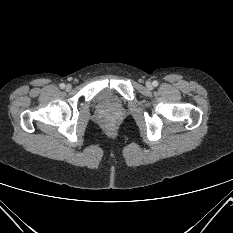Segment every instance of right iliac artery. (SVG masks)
I'll return each instance as SVG.
<instances>
[{
	"label": "right iliac artery",
	"instance_id": "1",
	"mask_svg": "<svg viewBox=\"0 0 233 233\" xmlns=\"http://www.w3.org/2000/svg\"><path fill=\"white\" fill-rule=\"evenodd\" d=\"M60 88H61V89H64V88H65V84H64V83H61V84H60Z\"/></svg>",
	"mask_w": 233,
	"mask_h": 233
}]
</instances>
